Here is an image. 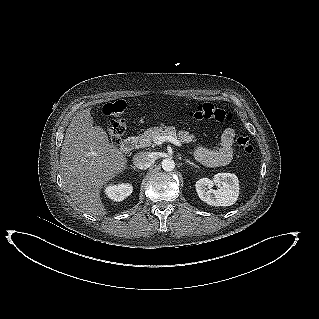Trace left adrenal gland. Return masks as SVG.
<instances>
[{
	"label": "left adrenal gland",
	"mask_w": 319,
	"mask_h": 319,
	"mask_svg": "<svg viewBox=\"0 0 319 319\" xmlns=\"http://www.w3.org/2000/svg\"><path fill=\"white\" fill-rule=\"evenodd\" d=\"M185 163H186V164H189V165H191V166H194V167H196V168H199L198 165H196L195 163L191 162L190 160H185Z\"/></svg>",
	"instance_id": "left-adrenal-gland-1"
}]
</instances>
